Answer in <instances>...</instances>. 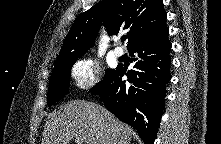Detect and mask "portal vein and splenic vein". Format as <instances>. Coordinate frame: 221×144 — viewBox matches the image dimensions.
Wrapping results in <instances>:
<instances>
[{
	"mask_svg": "<svg viewBox=\"0 0 221 144\" xmlns=\"http://www.w3.org/2000/svg\"><path fill=\"white\" fill-rule=\"evenodd\" d=\"M76 143H77V144H82L83 142H82V140L76 138Z\"/></svg>",
	"mask_w": 221,
	"mask_h": 144,
	"instance_id": "1",
	"label": "portal vein and splenic vein"
}]
</instances>
